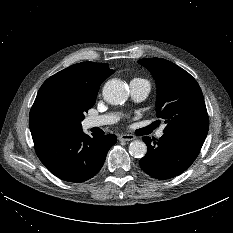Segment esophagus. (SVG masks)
I'll list each match as a JSON object with an SVG mask.
<instances>
[{"instance_id":"obj_1","label":"esophagus","mask_w":233,"mask_h":233,"mask_svg":"<svg viewBox=\"0 0 233 233\" xmlns=\"http://www.w3.org/2000/svg\"><path fill=\"white\" fill-rule=\"evenodd\" d=\"M134 139H135V136L131 134H122L119 136L120 141H132Z\"/></svg>"}]
</instances>
